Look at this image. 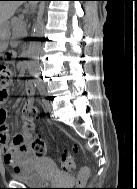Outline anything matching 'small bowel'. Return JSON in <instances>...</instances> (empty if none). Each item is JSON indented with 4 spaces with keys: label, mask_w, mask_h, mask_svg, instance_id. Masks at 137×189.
Instances as JSON below:
<instances>
[{
    "label": "small bowel",
    "mask_w": 137,
    "mask_h": 189,
    "mask_svg": "<svg viewBox=\"0 0 137 189\" xmlns=\"http://www.w3.org/2000/svg\"><path fill=\"white\" fill-rule=\"evenodd\" d=\"M20 74L23 73V69L19 66ZM27 95L32 96L35 93L34 84L28 82L25 86ZM6 97L0 98V147L3 153L4 163L17 172L21 168L30 165L33 161L31 151L26 147L25 140L28 137L27 132L34 128L33 118L24 115V128L23 131L11 136L9 133V127L7 124V112L4 108ZM33 104L32 100L27 102L26 108Z\"/></svg>",
    "instance_id": "obj_1"
}]
</instances>
